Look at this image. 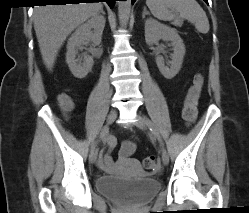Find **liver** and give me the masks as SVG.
Returning <instances> with one entry per match:
<instances>
[{
    "label": "liver",
    "instance_id": "6515ba94",
    "mask_svg": "<svg viewBox=\"0 0 249 213\" xmlns=\"http://www.w3.org/2000/svg\"><path fill=\"white\" fill-rule=\"evenodd\" d=\"M102 7L101 2L34 7V29L48 70H52L68 35L88 18L97 15Z\"/></svg>",
    "mask_w": 249,
    "mask_h": 213
}]
</instances>
